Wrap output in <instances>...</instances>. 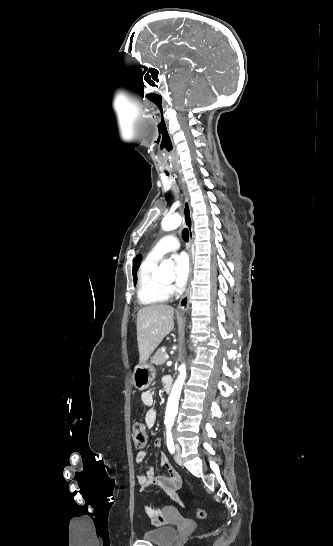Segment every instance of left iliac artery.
Listing matches in <instances>:
<instances>
[{
    "instance_id": "44dca946",
    "label": "left iliac artery",
    "mask_w": 333,
    "mask_h": 546,
    "mask_svg": "<svg viewBox=\"0 0 333 546\" xmlns=\"http://www.w3.org/2000/svg\"><path fill=\"white\" fill-rule=\"evenodd\" d=\"M166 443H167V448H168L169 452L171 454H173L174 451H175V446H174L172 433H171L170 430H167V432H166Z\"/></svg>"
}]
</instances>
